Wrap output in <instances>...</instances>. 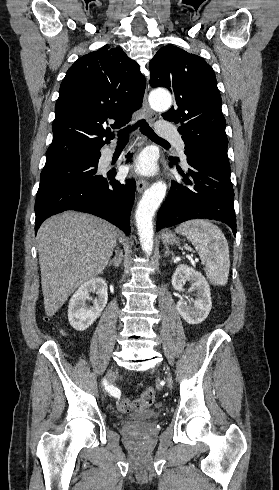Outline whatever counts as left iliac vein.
<instances>
[{
  "label": "left iliac vein",
  "mask_w": 279,
  "mask_h": 490,
  "mask_svg": "<svg viewBox=\"0 0 279 490\" xmlns=\"http://www.w3.org/2000/svg\"><path fill=\"white\" fill-rule=\"evenodd\" d=\"M167 382H168V385L171 387L173 385V379H172V376H170L169 374L167 375Z\"/></svg>",
  "instance_id": "1"
}]
</instances>
